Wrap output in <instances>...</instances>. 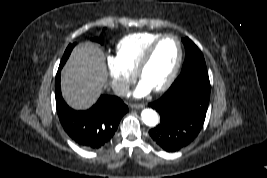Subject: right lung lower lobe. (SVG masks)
<instances>
[{
    "instance_id": "98d812e1",
    "label": "right lung lower lobe",
    "mask_w": 267,
    "mask_h": 178,
    "mask_svg": "<svg viewBox=\"0 0 267 178\" xmlns=\"http://www.w3.org/2000/svg\"><path fill=\"white\" fill-rule=\"evenodd\" d=\"M62 67L60 64L55 78L56 108L60 123L76 144L86 149H99L111 140L128 107L116 96L102 95L86 111L70 108L61 95Z\"/></svg>"
}]
</instances>
